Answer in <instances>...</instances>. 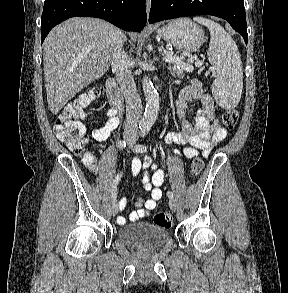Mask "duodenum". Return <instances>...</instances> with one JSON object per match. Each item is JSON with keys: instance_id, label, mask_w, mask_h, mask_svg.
<instances>
[{"instance_id": "1", "label": "duodenum", "mask_w": 288, "mask_h": 293, "mask_svg": "<svg viewBox=\"0 0 288 293\" xmlns=\"http://www.w3.org/2000/svg\"><path fill=\"white\" fill-rule=\"evenodd\" d=\"M106 92L109 98V102L114 108H120L123 105V95L114 79L107 80Z\"/></svg>"}]
</instances>
